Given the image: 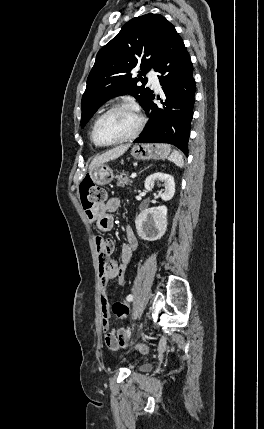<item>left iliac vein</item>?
<instances>
[{
	"instance_id": "4c4485c4",
	"label": "left iliac vein",
	"mask_w": 264,
	"mask_h": 429,
	"mask_svg": "<svg viewBox=\"0 0 264 429\" xmlns=\"http://www.w3.org/2000/svg\"><path fill=\"white\" fill-rule=\"evenodd\" d=\"M144 319L142 318L139 322V327L136 329L138 332L144 329Z\"/></svg>"
}]
</instances>
